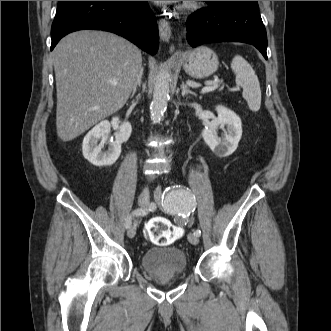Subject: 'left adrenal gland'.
<instances>
[{
    "mask_svg": "<svg viewBox=\"0 0 331 331\" xmlns=\"http://www.w3.org/2000/svg\"><path fill=\"white\" fill-rule=\"evenodd\" d=\"M181 89H182V96L183 97L188 95V94L196 96V94L194 92H192L191 90H189L188 86L184 83H182Z\"/></svg>",
    "mask_w": 331,
    "mask_h": 331,
    "instance_id": "obj_1",
    "label": "left adrenal gland"
}]
</instances>
